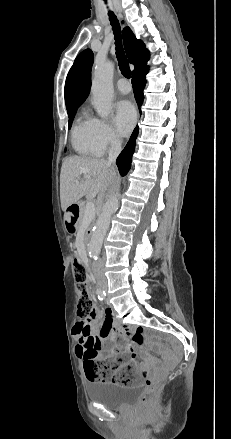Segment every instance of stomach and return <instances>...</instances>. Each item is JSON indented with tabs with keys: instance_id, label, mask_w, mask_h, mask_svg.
Returning <instances> with one entry per match:
<instances>
[{
	"instance_id": "1",
	"label": "stomach",
	"mask_w": 231,
	"mask_h": 439,
	"mask_svg": "<svg viewBox=\"0 0 231 439\" xmlns=\"http://www.w3.org/2000/svg\"><path fill=\"white\" fill-rule=\"evenodd\" d=\"M67 229H68V231L69 232H73V227H72V225L71 224H69L70 222H69V220L67 219Z\"/></svg>"
}]
</instances>
